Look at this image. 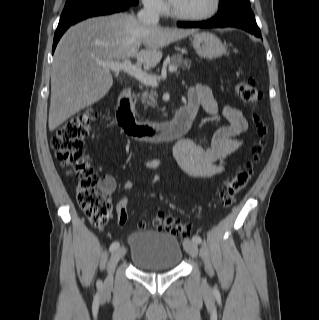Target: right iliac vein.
Masks as SVG:
<instances>
[{"label": "right iliac vein", "instance_id": "1", "mask_svg": "<svg viewBox=\"0 0 319 320\" xmlns=\"http://www.w3.org/2000/svg\"><path fill=\"white\" fill-rule=\"evenodd\" d=\"M124 254H125L124 247H118L116 250L113 251L110 262H109V266H108V276L104 282L105 288H108L112 285L113 271L115 269V266L119 262V260L124 256Z\"/></svg>", "mask_w": 319, "mask_h": 320}]
</instances>
